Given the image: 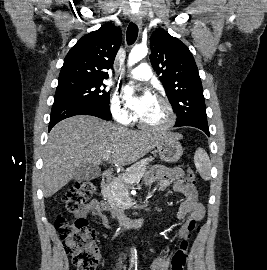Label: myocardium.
Instances as JSON below:
<instances>
[{
  "instance_id": "myocardium-1",
  "label": "myocardium",
  "mask_w": 267,
  "mask_h": 270,
  "mask_svg": "<svg viewBox=\"0 0 267 270\" xmlns=\"http://www.w3.org/2000/svg\"><path fill=\"white\" fill-rule=\"evenodd\" d=\"M156 100L159 101L164 106V108L166 110V113H167L166 122L161 124V125H151V124L144 122L142 120V118L139 117L138 123H139L140 127L143 129L153 131V132H164V131L171 129L174 126V124L176 122V114H175V111L173 109L172 104L166 98H164L162 96H158L156 98Z\"/></svg>"
}]
</instances>
